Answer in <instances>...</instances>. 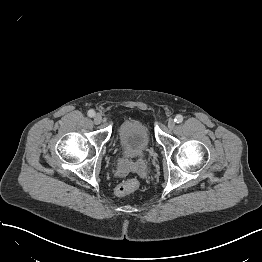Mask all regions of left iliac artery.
Masks as SVG:
<instances>
[{"label":"left iliac artery","mask_w":262,"mask_h":262,"mask_svg":"<svg viewBox=\"0 0 262 262\" xmlns=\"http://www.w3.org/2000/svg\"><path fill=\"white\" fill-rule=\"evenodd\" d=\"M176 123H181L183 121V116L182 115H177L174 119Z\"/></svg>","instance_id":"44dca946"}]
</instances>
